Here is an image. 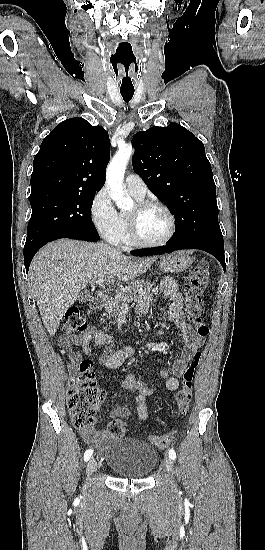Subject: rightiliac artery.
I'll return each instance as SVG.
<instances>
[{
    "mask_svg": "<svg viewBox=\"0 0 265 550\" xmlns=\"http://www.w3.org/2000/svg\"><path fill=\"white\" fill-rule=\"evenodd\" d=\"M92 454H93V449L90 448L86 450V452L84 453V460L88 461L91 458Z\"/></svg>",
    "mask_w": 265,
    "mask_h": 550,
    "instance_id": "82829eb1",
    "label": "right iliac artery"
}]
</instances>
